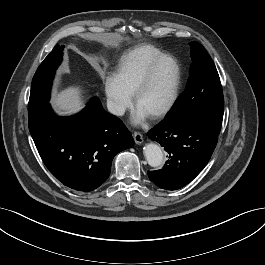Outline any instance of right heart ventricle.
Returning <instances> with one entry per match:
<instances>
[{
    "instance_id": "obj_1",
    "label": "right heart ventricle",
    "mask_w": 265,
    "mask_h": 265,
    "mask_svg": "<svg viewBox=\"0 0 265 265\" xmlns=\"http://www.w3.org/2000/svg\"><path fill=\"white\" fill-rule=\"evenodd\" d=\"M163 52L151 44L137 45L120 58L113 78L118 86L129 96L145 72L148 65Z\"/></svg>"
}]
</instances>
